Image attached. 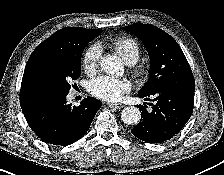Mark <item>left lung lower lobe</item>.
I'll return each instance as SVG.
<instances>
[{
  "mask_svg": "<svg viewBox=\"0 0 224 175\" xmlns=\"http://www.w3.org/2000/svg\"><path fill=\"white\" fill-rule=\"evenodd\" d=\"M195 84L172 83L161 86L151 94L141 95L146 101L153 98L151 111L139 105L140 122L131 133L147 143H163L177 134L193 112Z\"/></svg>",
  "mask_w": 224,
  "mask_h": 175,
  "instance_id": "0a47b994",
  "label": "left lung lower lobe"
}]
</instances>
